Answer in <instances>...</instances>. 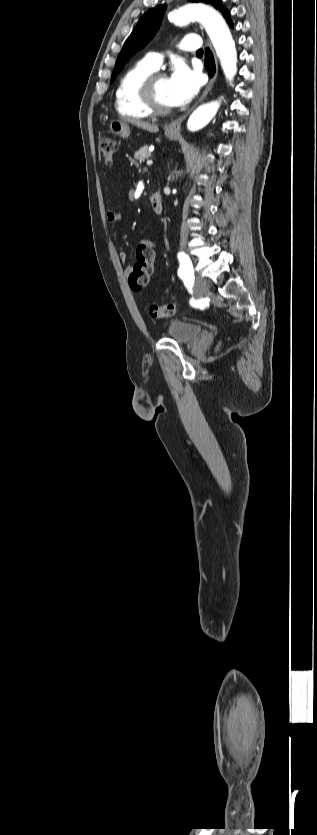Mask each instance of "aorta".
Listing matches in <instances>:
<instances>
[{
  "mask_svg": "<svg viewBox=\"0 0 317 835\" xmlns=\"http://www.w3.org/2000/svg\"><path fill=\"white\" fill-rule=\"evenodd\" d=\"M168 19L177 25H186L193 19L200 22L210 37L226 79L232 81L237 72L235 43L225 20L216 10L202 4H188L169 11ZM219 107L220 101L199 106L188 119V130L197 131L205 127Z\"/></svg>",
  "mask_w": 317,
  "mask_h": 835,
  "instance_id": "1",
  "label": "aorta"
}]
</instances>
